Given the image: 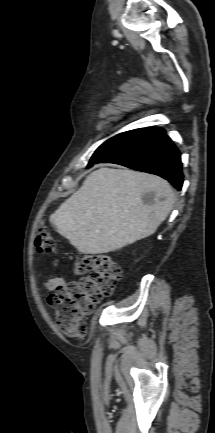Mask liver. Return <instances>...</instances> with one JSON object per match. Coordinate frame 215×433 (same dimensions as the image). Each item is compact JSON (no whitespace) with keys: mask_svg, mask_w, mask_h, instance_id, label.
<instances>
[{"mask_svg":"<svg viewBox=\"0 0 215 433\" xmlns=\"http://www.w3.org/2000/svg\"><path fill=\"white\" fill-rule=\"evenodd\" d=\"M147 193L150 203L143 200ZM174 202L170 184L159 176L103 167L87 176L50 221L79 252L102 254L152 235Z\"/></svg>","mask_w":215,"mask_h":433,"instance_id":"liver-1","label":"liver"}]
</instances>
